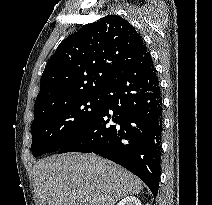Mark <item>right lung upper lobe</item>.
Here are the masks:
<instances>
[{
    "label": "right lung upper lobe",
    "mask_w": 212,
    "mask_h": 205,
    "mask_svg": "<svg viewBox=\"0 0 212 205\" xmlns=\"http://www.w3.org/2000/svg\"><path fill=\"white\" fill-rule=\"evenodd\" d=\"M148 52L125 19L108 15L61 42L49 59L35 101V116L75 99L102 93L130 64Z\"/></svg>",
    "instance_id": "cb5924a9"
}]
</instances>
